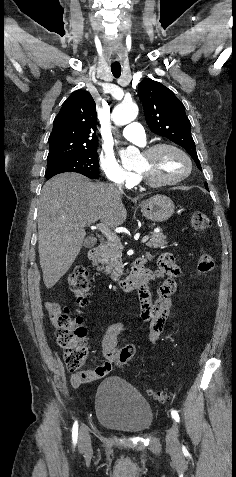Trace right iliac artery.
<instances>
[{
  "mask_svg": "<svg viewBox=\"0 0 236 477\" xmlns=\"http://www.w3.org/2000/svg\"><path fill=\"white\" fill-rule=\"evenodd\" d=\"M77 439H78V422L75 421L74 425H73V428H72V441H73V444H76L77 443Z\"/></svg>",
  "mask_w": 236,
  "mask_h": 477,
  "instance_id": "right-iliac-artery-1",
  "label": "right iliac artery"
}]
</instances>
